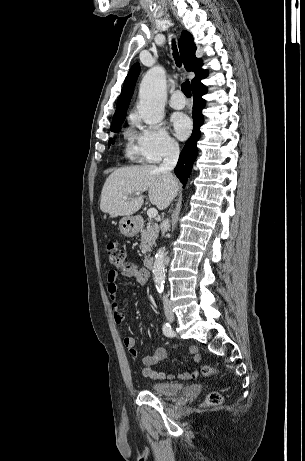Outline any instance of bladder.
<instances>
[{
	"label": "bladder",
	"mask_w": 305,
	"mask_h": 461,
	"mask_svg": "<svg viewBox=\"0 0 305 461\" xmlns=\"http://www.w3.org/2000/svg\"><path fill=\"white\" fill-rule=\"evenodd\" d=\"M149 389L158 395H175L184 389V385L178 382L154 381L149 384Z\"/></svg>",
	"instance_id": "obj_1"
}]
</instances>
